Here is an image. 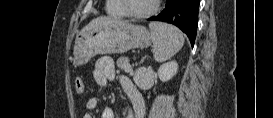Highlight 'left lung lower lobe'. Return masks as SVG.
I'll return each mask as SVG.
<instances>
[{"label": "left lung lower lobe", "mask_w": 273, "mask_h": 118, "mask_svg": "<svg viewBox=\"0 0 273 118\" xmlns=\"http://www.w3.org/2000/svg\"><path fill=\"white\" fill-rule=\"evenodd\" d=\"M199 3L200 0H166L164 10L148 20L177 26L188 36L193 46L197 32Z\"/></svg>", "instance_id": "1"}]
</instances>
